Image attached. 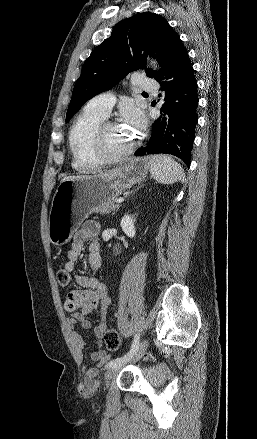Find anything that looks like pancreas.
Segmentation results:
<instances>
[{
    "label": "pancreas",
    "mask_w": 257,
    "mask_h": 439,
    "mask_svg": "<svg viewBox=\"0 0 257 439\" xmlns=\"http://www.w3.org/2000/svg\"><path fill=\"white\" fill-rule=\"evenodd\" d=\"M117 208L118 205L114 204L113 200H108L98 205L93 211L100 214H109L111 211H114Z\"/></svg>",
    "instance_id": "cf45deb5"
}]
</instances>
